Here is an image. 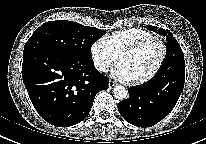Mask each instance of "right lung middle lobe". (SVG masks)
Masks as SVG:
<instances>
[{"label": "right lung middle lobe", "mask_w": 206, "mask_h": 144, "mask_svg": "<svg viewBox=\"0 0 206 144\" xmlns=\"http://www.w3.org/2000/svg\"><path fill=\"white\" fill-rule=\"evenodd\" d=\"M105 33L104 30L73 21H49L35 30L25 44L23 55L34 51H50L92 61L91 46Z\"/></svg>", "instance_id": "1"}]
</instances>
